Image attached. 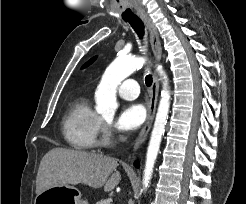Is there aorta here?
I'll use <instances>...</instances> for the list:
<instances>
[{"mask_svg": "<svg viewBox=\"0 0 246 204\" xmlns=\"http://www.w3.org/2000/svg\"><path fill=\"white\" fill-rule=\"evenodd\" d=\"M144 63L145 59L142 57L120 55L108 66L95 93L97 104L96 111L99 114L106 118L114 116L115 111L118 108L116 100L118 85L136 69L142 67ZM157 70L163 77L164 82L158 111L146 153L143 190H146L147 187H149L154 164L160 149L162 136L165 132L170 107V93L167 89V76L161 66H158Z\"/></svg>", "mask_w": 246, "mask_h": 204, "instance_id": "obj_1", "label": "aorta"}]
</instances>
